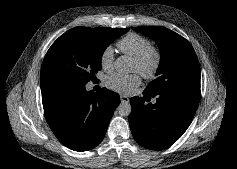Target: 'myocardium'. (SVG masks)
I'll use <instances>...</instances> for the list:
<instances>
[{
  "label": "myocardium",
  "instance_id": "myocardium-1",
  "mask_svg": "<svg viewBox=\"0 0 237 169\" xmlns=\"http://www.w3.org/2000/svg\"><path fill=\"white\" fill-rule=\"evenodd\" d=\"M134 61L138 65L140 75L149 79L155 75L160 66L161 53L157 48L151 46L142 54L134 57Z\"/></svg>",
  "mask_w": 237,
  "mask_h": 169
}]
</instances>
